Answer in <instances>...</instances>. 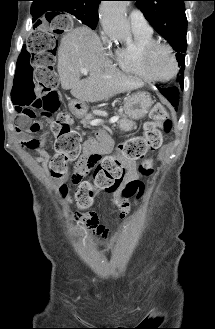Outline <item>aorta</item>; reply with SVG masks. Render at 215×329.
I'll return each instance as SVG.
<instances>
[{"label": "aorta", "instance_id": "aorta-1", "mask_svg": "<svg viewBox=\"0 0 215 329\" xmlns=\"http://www.w3.org/2000/svg\"><path fill=\"white\" fill-rule=\"evenodd\" d=\"M128 1H104L100 7V20L104 31L118 41L131 37L130 25L126 18Z\"/></svg>", "mask_w": 215, "mask_h": 329}]
</instances>
